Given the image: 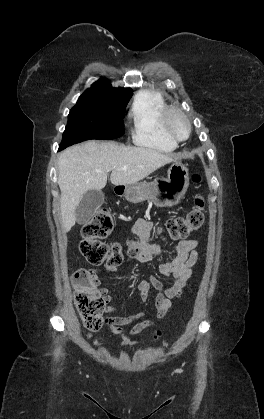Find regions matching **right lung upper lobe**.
<instances>
[{
  "mask_svg": "<svg viewBox=\"0 0 264 419\" xmlns=\"http://www.w3.org/2000/svg\"><path fill=\"white\" fill-rule=\"evenodd\" d=\"M84 93L102 94L128 99L132 96V89L113 88L107 79H101L95 82L91 88L87 89Z\"/></svg>",
  "mask_w": 264,
  "mask_h": 419,
  "instance_id": "cb5924a9",
  "label": "right lung upper lobe"
}]
</instances>
